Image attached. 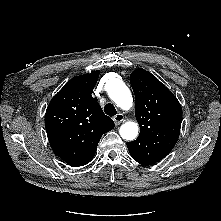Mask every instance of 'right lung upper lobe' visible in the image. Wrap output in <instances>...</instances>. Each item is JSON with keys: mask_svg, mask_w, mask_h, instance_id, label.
<instances>
[{"mask_svg": "<svg viewBox=\"0 0 221 221\" xmlns=\"http://www.w3.org/2000/svg\"><path fill=\"white\" fill-rule=\"evenodd\" d=\"M99 71L68 81L53 97L45 114V127L54 153L73 167L88 164L101 136L114 128L92 91Z\"/></svg>", "mask_w": 221, "mask_h": 221, "instance_id": "obj_1", "label": "right lung upper lobe"}]
</instances>
